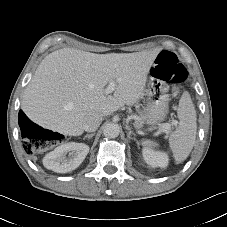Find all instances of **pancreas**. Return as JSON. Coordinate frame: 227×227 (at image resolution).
Here are the masks:
<instances>
[{
    "mask_svg": "<svg viewBox=\"0 0 227 227\" xmlns=\"http://www.w3.org/2000/svg\"><path fill=\"white\" fill-rule=\"evenodd\" d=\"M143 122H144V115L143 113H141L140 116L136 118V121H135L136 127H141Z\"/></svg>",
    "mask_w": 227,
    "mask_h": 227,
    "instance_id": "1",
    "label": "pancreas"
}]
</instances>
